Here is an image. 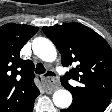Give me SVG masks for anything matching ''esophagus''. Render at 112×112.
<instances>
[{"mask_svg":"<svg viewBox=\"0 0 112 112\" xmlns=\"http://www.w3.org/2000/svg\"><path fill=\"white\" fill-rule=\"evenodd\" d=\"M42 80L44 83V87L50 92L55 91L59 87V84L56 78L53 76L52 71H48L47 74L42 78Z\"/></svg>","mask_w":112,"mask_h":112,"instance_id":"esophagus-1","label":"esophagus"}]
</instances>
